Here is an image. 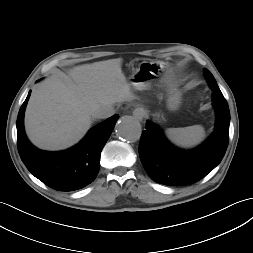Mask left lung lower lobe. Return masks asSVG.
<instances>
[{
	"label": "left lung lower lobe",
	"instance_id": "0a47b994",
	"mask_svg": "<svg viewBox=\"0 0 253 253\" xmlns=\"http://www.w3.org/2000/svg\"><path fill=\"white\" fill-rule=\"evenodd\" d=\"M216 125L212 136L194 150L183 151L171 145L151 122L146 123L139 144L141 162L157 183L171 186L190 185L204 178L222 160L229 141L230 112L227 101L213 89Z\"/></svg>",
	"mask_w": 253,
	"mask_h": 253
}]
</instances>
